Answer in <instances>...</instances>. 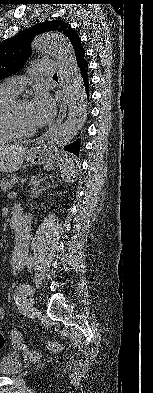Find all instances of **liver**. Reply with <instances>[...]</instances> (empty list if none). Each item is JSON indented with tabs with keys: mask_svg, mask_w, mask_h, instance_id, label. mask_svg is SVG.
<instances>
[{
	"mask_svg": "<svg viewBox=\"0 0 153 393\" xmlns=\"http://www.w3.org/2000/svg\"><path fill=\"white\" fill-rule=\"evenodd\" d=\"M26 146L19 144L0 146V172L18 171L24 161Z\"/></svg>",
	"mask_w": 153,
	"mask_h": 393,
	"instance_id": "1",
	"label": "liver"
}]
</instances>
